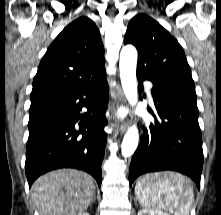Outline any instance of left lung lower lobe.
<instances>
[{"label":"left lung lower lobe","instance_id":"1","mask_svg":"<svg viewBox=\"0 0 221 215\" xmlns=\"http://www.w3.org/2000/svg\"><path fill=\"white\" fill-rule=\"evenodd\" d=\"M137 77L141 93L142 81L149 79L138 74ZM151 93L162 121L151 123L150 135L144 128L130 164L129 183L144 173L173 170L189 176L199 189L203 150L196 97L182 89L156 83Z\"/></svg>","mask_w":221,"mask_h":215}]
</instances>
